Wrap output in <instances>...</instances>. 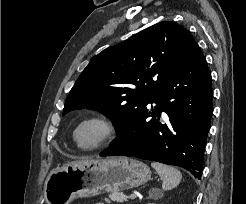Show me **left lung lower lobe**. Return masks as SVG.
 Returning <instances> with one entry per match:
<instances>
[{
  "label": "left lung lower lobe",
  "mask_w": 246,
  "mask_h": 204,
  "mask_svg": "<svg viewBox=\"0 0 246 204\" xmlns=\"http://www.w3.org/2000/svg\"><path fill=\"white\" fill-rule=\"evenodd\" d=\"M212 97L211 74L197 45L100 156H133L176 165L201 179ZM152 103L155 106L148 109ZM148 117L152 119L146 121Z\"/></svg>",
  "instance_id": "left-lung-lower-lobe-1"
}]
</instances>
